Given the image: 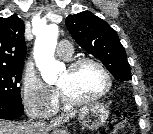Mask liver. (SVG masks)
<instances>
[{
    "mask_svg": "<svg viewBox=\"0 0 153 134\" xmlns=\"http://www.w3.org/2000/svg\"><path fill=\"white\" fill-rule=\"evenodd\" d=\"M75 114H76V111H70L65 114H62V116L56 122L57 123L65 122L69 120L70 118L74 117ZM29 128H30L29 123L20 124L17 122L0 119V134H30ZM50 128L51 126H47L44 132H46Z\"/></svg>",
    "mask_w": 153,
    "mask_h": 134,
    "instance_id": "1",
    "label": "liver"
}]
</instances>
